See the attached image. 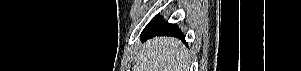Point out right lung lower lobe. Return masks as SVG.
Returning a JSON list of instances; mask_svg holds the SVG:
<instances>
[{"label": "right lung lower lobe", "mask_w": 301, "mask_h": 71, "mask_svg": "<svg viewBox=\"0 0 301 71\" xmlns=\"http://www.w3.org/2000/svg\"><path fill=\"white\" fill-rule=\"evenodd\" d=\"M154 36H173L184 40V35L176 24L165 22L160 15H156L145 27L141 34L142 41Z\"/></svg>", "instance_id": "1"}]
</instances>
